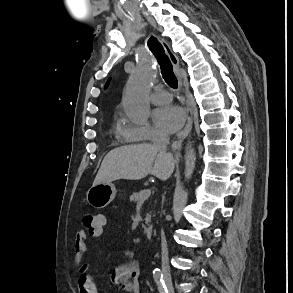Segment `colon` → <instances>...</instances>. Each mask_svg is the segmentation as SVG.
<instances>
[{
  "mask_svg": "<svg viewBox=\"0 0 293 293\" xmlns=\"http://www.w3.org/2000/svg\"><path fill=\"white\" fill-rule=\"evenodd\" d=\"M82 224L90 232V234L98 232L102 227V220L93 212L87 211L82 214ZM96 289H92L91 293H95Z\"/></svg>",
  "mask_w": 293,
  "mask_h": 293,
  "instance_id": "obj_1",
  "label": "colon"
}]
</instances>
